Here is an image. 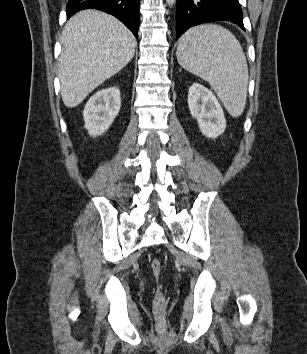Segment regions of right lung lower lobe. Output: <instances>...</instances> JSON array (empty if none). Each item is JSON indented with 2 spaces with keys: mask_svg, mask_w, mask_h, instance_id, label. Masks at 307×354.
Here are the masks:
<instances>
[{
  "mask_svg": "<svg viewBox=\"0 0 307 354\" xmlns=\"http://www.w3.org/2000/svg\"><path fill=\"white\" fill-rule=\"evenodd\" d=\"M93 8L114 15L137 37L139 26V0H69L66 11L70 18L79 10Z\"/></svg>",
  "mask_w": 307,
  "mask_h": 354,
  "instance_id": "right-lung-lower-lobe-1",
  "label": "right lung lower lobe"
}]
</instances>
